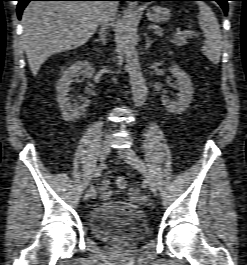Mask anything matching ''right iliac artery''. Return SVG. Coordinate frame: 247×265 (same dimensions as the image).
<instances>
[{"label": "right iliac artery", "mask_w": 247, "mask_h": 265, "mask_svg": "<svg viewBox=\"0 0 247 265\" xmlns=\"http://www.w3.org/2000/svg\"><path fill=\"white\" fill-rule=\"evenodd\" d=\"M101 174H102V167L99 166L94 173V178L95 179L99 178L101 176ZM89 191H90V196L92 198H96L97 194H96V190H95L94 186H91Z\"/></svg>", "instance_id": "right-iliac-artery-1"}]
</instances>
